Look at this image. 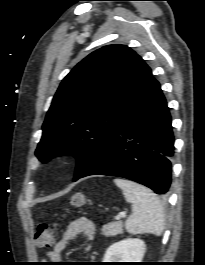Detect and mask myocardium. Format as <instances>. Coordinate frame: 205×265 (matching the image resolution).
<instances>
[{
  "label": "myocardium",
  "instance_id": "myocardium-1",
  "mask_svg": "<svg viewBox=\"0 0 205 265\" xmlns=\"http://www.w3.org/2000/svg\"><path fill=\"white\" fill-rule=\"evenodd\" d=\"M63 160H64V161L69 160V155H68V154L64 155V156H63Z\"/></svg>",
  "mask_w": 205,
  "mask_h": 265
}]
</instances>
